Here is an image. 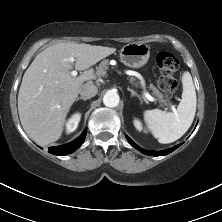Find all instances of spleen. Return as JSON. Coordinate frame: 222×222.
<instances>
[{"label":"spleen","instance_id":"1","mask_svg":"<svg viewBox=\"0 0 222 222\" xmlns=\"http://www.w3.org/2000/svg\"><path fill=\"white\" fill-rule=\"evenodd\" d=\"M182 99L174 112L159 109L144 111V121L153 136L162 144L172 143L181 138L193 123L196 113V92L188 71L182 75Z\"/></svg>","mask_w":222,"mask_h":222}]
</instances>
